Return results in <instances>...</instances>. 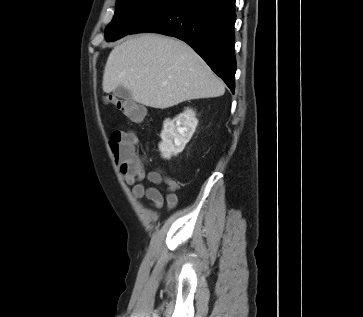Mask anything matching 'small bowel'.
Listing matches in <instances>:
<instances>
[{
    "label": "small bowel",
    "instance_id": "small-bowel-1",
    "mask_svg": "<svg viewBox=\"0 0 363 317\" xmlns=\"http://www.w3.org/2000/svg\"><path fill=\"white\" fill-rule=\"evenodd\" d=\"M120 175L122 179L130 186H132L131 193L136 199H142L146 197L150 206L153 208H161L164 203V197L162 193L154 186H145L142 183L144 178L154 184L159 185L166 184V203L168 208L172 209L177 205L178 197L177 190L179 189V183L166 175L160 170H154L146 173L143 164L136 169H123L120 168Z\"/></svg>",
    "mask_w": 363,
    "mask_h": 317
}]
</instances>
